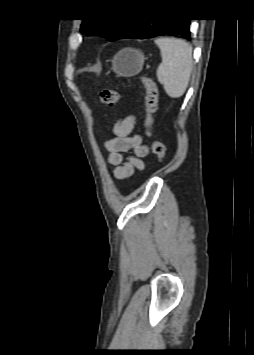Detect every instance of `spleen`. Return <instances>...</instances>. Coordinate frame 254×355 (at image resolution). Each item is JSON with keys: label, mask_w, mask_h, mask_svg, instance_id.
Segmentation results:
<instances>
[{"label": "spleen", "mask_w": 254, "mask_h": 355, "mask_svg": "<svg viewBox=\"0 0 254 355\" xmlns=\"http://www.w3.org/2000/svg\"><path fill=\"white\" fill-rule=\"evenodd\" d=\"M162 62L157 69V79L168 96L181 97L189 84L193 59L192 47L187 42L175 38H158Z\"/></svg>", "instance_id": "spleen-1"}]
</instances>
